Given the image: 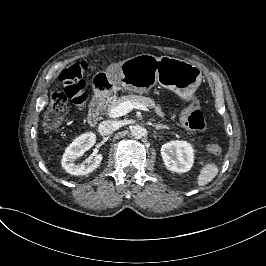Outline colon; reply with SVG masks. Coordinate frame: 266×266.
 I'll use <instances>...</instances> for the list:
<instances>
[{
  "label": "colon",
  "mask_w": 266,
  "mask_h": 266,
  "mask_svg": "<svg viewBox=\"0 0 266 266\" xmlns=\"http://www.w3.org/2000/svg\"><path fill=\"white\" fill-rule=\"evenodd\" d=\"M86 69V61L78 59L60 72L59 80L64 85V88L51 96L50 106L43 121L45 133H54L58 130L68 111V102H72L77 106L84 102L86 96L84 92V72ZM193 103L194 105L198 104L197 97H194ZM184 125L188 129L207 132L204 115L199 110H194L185 117ZM207 148L210 153L215 155L221 152V147L217 143H210Z\"/></svg>",
  "instance_id": "1"
}]
</instances>
